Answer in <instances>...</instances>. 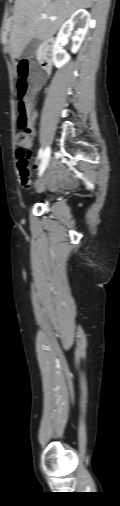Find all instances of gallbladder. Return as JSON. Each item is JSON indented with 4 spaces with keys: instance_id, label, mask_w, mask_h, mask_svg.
I'll return each mask as SVG.
<instances>
[{
    "instance_id": "obj_1",
    "label": "gallbladder",
    "mask_w": 120,
    "mask_h": 506,
    "mask_svg": "<svg viewBox=\"0 0 120 506\" xmlns=\"http://www.w3.org/2000/svg\"><path fill=\"white\" fill-rule=\"evenodd\" d=\"M39 44L40 41L37 38L31 39L24 47L21 53V58L28 59L34 57L39 47Z\"/></svg>"
}]
</instances>
